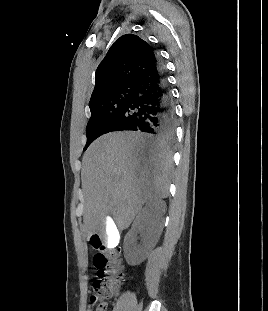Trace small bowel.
Listing matches in <instances>:
<instances>
[{
	"instance_id": "1",
	"label": "small bowel",
	"mask_w": 268,
	"mask_h": 311,
	"mask_svg": "<svg viewBox=\"0 0 268 311\" xmlns=\"http://www.w3.org/2000/svg\"><path fill=\"white\" fill-rule=\"evenodd\" d=\"M87 311H92L91 309H88Z\"/></svg>"
}]
</instances>
